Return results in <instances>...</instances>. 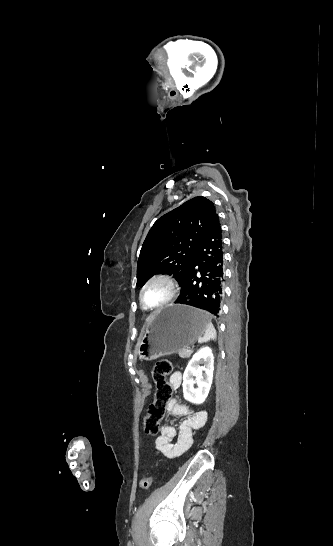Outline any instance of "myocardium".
<instances>
[{"instance_id":"f54148a6","label":"myocardium","mask_w":333,"mask_h":546,"mask_svg":"<svg viewBox=\"0 0 333 546\" xmlns=\"http://www.w3.org/2000/svg\"><path fill=\"white\" fill-rule=\"evenodd\" d=\"M157 281L164 282L165 284H167L169 286L170 295L161 304H159L157 306H149L145 302L144 292H145V290L147 289V287L149 285H151L152 283L157 282ZM178 291H179V285H178L177 281L175 280V278L173 276H171L168 273H157V274L152 275L150 278H148L147 281L143 284V286H142V288L140 290L139 298H140V302H141L143 307H145L146 309H150V310H156V309L163 308V307L167 306L168 304H170L175 299V297L177 296Z\"/></svg>"}]
</instances>
